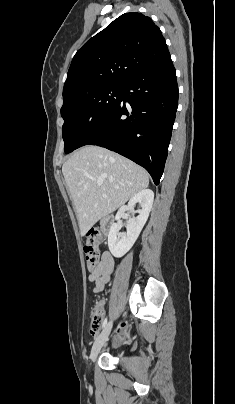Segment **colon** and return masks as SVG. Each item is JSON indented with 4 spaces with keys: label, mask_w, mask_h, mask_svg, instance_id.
<instances>
[{
    "label": "colon",
    "mask_w": 235,
    "mask_h": 404,
    "mask_svg": "<svg viewBox=\"0 0 235 404\" xmlns=\"http://www.w3.org/2000/svg\"><path fill=\"white\" fill-rule=\"evenodd\" d=\"M103 240L102 233L97 229L87 232L84 245V254L89 269H94L99 262V245ZM103 310L101 305H95L91 309V328L98 329L102 323Z\"/></svg>",
    "instance_id": "1"
}]
</instances>
